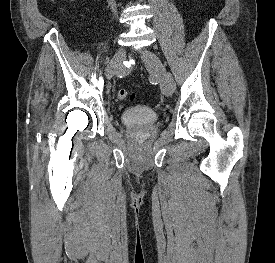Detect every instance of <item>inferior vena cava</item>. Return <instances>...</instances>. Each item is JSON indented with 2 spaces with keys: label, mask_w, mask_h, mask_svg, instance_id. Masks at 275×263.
<instances>
[{
  "label": "inferior vena cava",
  "mask_w": 275,
  "mask_h": 263,
  "mask_svg": "<svg viewBox=\"0 0 275 263\" xmlns=\"http://www.w3.org/2000/svg\"><path fill=\"white\" fill-rule=\"evenodd\" d=\"M108 4L111 7L112 11L116 12V3H115V0H108Z\"/></svg>",
  "instance_id": "inferior-vena-cava-1"
}]
</instances>
